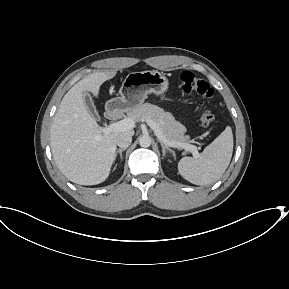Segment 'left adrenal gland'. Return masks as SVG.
Returning <instances> with one entry per match:
<instances>
[{"instance_id":"a2214340","label":"left adrenal gland","mask_w":289,"mask_h":289,"mask_svg":"<svg viewBox=\"0 0 289 289\" xmlns=\"http://www.w3.org/2000/svg\"><path fill=\"white\" fill-rule=\"evenodd\" d=\"M157 141L160 143L161 147H162V153H163V156L166 155V148L167 146L164 144V142L160 139H157Z\"/></svg>"}]
</instances>
